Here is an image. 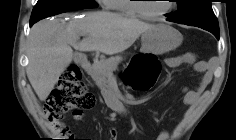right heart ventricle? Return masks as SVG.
I'll return each mask as SVG.
<instances>
[{
	"instance_id": "right-heart-ventricle-1",
	"label": "right heart ventricle",
	"mask_w": 236,
	"mask_h": 140,
	"mask_svg": "<svg viewBox=\"0 0 236 140\" xmlns=\"http://www.w3.org/2000/svg\"><path fill=\"white\" fill-rule=\"evenodd\" d=\"M132 0H109L108 5L111 9L117 11L122 15L136 16V12L133 9Z\"/></svg>"
}]
</instances>
